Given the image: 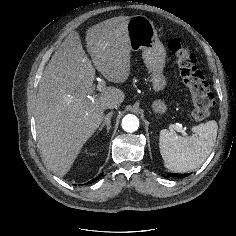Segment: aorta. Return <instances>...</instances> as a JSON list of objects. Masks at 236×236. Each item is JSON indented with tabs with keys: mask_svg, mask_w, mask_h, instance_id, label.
Instances as JSON below:
<instances>
[{
	"mask_svg": "<svg viewBox=\"0 0 236 236\" xmlns=\"http://www.w3.org/2000/svg\"><path fill=\"white\" fill-rule=\"evenodd\" d=\"M121 125L124 131L132 133L138 130L139 119L133 114H127L123 117Z\"/></svg>",
	"mask_w": 236,
	"mask_h": 236,
	"instance_id": "762f6f07",
	"label": "aorta"
}]
</instances>
